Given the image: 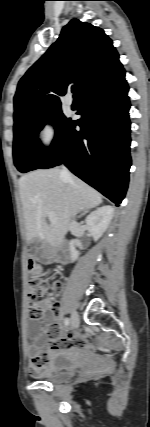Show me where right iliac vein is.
Instances as JSON below:
<instances>
[{
	"label": "right iliac vein",
	"mask_w": 150,
	"mask_h": 427,
	"mask_svg": "<svg viewBox=\"0 0 150 427\" xmlns=\"http://www.w3.org/2000/svg\"><path fill=\"white\" fill-rule=\"evenodd\" d=\"M71 326L73 328H77L79 326V315L77 312H72L71 315Z\"/></svg>",
	"instance_id": "63e3f726"
}]
</instances>
